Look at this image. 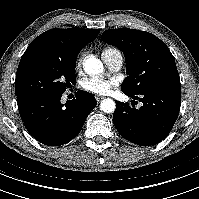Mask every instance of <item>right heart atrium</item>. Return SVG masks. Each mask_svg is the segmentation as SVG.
Returning <instances> with one entry per match:
<instances>
[{
	"mask_svg": "<svg viewBox=\"0 0 199 199\" xmlns=\"http://www.w3.org/2000/svg\"><path fill=\"white\" fill-rule=\"evenodd\" d=\"M84 55L80 56L76 61V69H80L82 66Z\"/></svg>",
	"mask_w": 199,
	"mask_h": 199,
	"instance_id": "1",
	"label": "right heart atrium"
}]
</instances>
